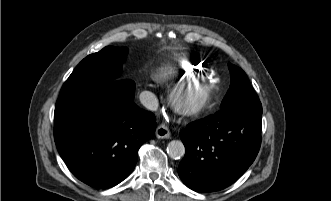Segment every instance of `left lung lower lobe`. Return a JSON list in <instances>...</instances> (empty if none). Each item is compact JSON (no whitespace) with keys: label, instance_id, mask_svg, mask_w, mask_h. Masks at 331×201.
<instances>
[{"label":"left lung lower lobe","instance_id":"obj_1","mask_svg":"<svg viewBox=\"0 0 331 201\" xmlns=\"http://www.w3.org/2000/svg\"><path fill=\"white\" fill-rule=\"evenodd\" d=\"M260 101L222 108L180 132L185 156L178 174L196 192L222 190L255 160L261 144Z\"/></svg>","mask_w":331,"mask_h":201}]
</instances>
